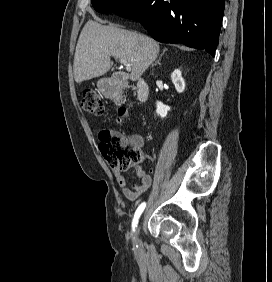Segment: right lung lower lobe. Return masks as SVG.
Masks as SVG:
<instances>
[{
	"instance_id": "obj_1",
	"label": "right lung lower lobe",
	"mask_w": 272,
	"mask_h": 282,
	"mask_svg": "<svg viewBox=\"0 0 272 282\" xmlns=\"http://www.w3.org/2000/svg\"><path fill=\"white\" fill-rule=\"evenodd\" d=\"M224 5L225 0H140L116 14L139 21L159 42L183 43L214 56Z\"/></svg>"
}]
</instances>
